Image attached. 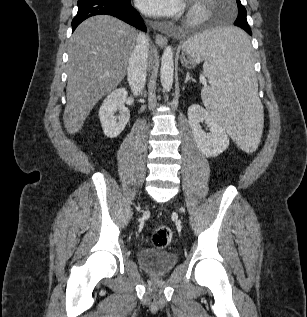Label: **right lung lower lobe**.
Masks as SVG:
<instances>
[{
    "mask_svg": "<svg viewBox=\"0 0 307 317\" xmlns=\"http://www.w3.org/2000/svg\"><path fill=\"white\" fill-rule=\"evenodd\" d=\"M78 12L72 20V32L85 19L95 15H111L145 31L146 26L130 0H78Z\"/></svg>",
    "mask_w": 307,
    "mask_h": 317,
    "instance_id": "right-lung-lower-lobe-1",
    "label": "right lung lower lobe"
}]
</instances>
